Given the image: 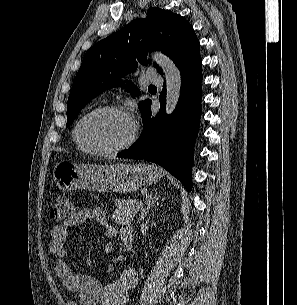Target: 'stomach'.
Segmentation results:
<instances>
[{
  "label": "stomach",
  "mask_w": 297,
  "mask_h": 305,
  "mask_svg": "<svg viewBox=\"0 0 297 305\" xmlns=\"http://www.w3.org/2000/svg\"><path fill=\"white\" fill-rule=\"evenodd\" d=\"M159 167L151 164H77L68 160L57 163L53 170L56 186L63 192L88 189L98 192L130 193L158 182Z\"/></svg>",
  "instance_id": "stomach-1"
}]
</instances>
